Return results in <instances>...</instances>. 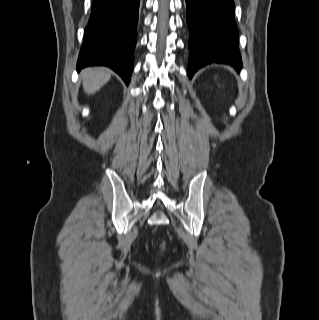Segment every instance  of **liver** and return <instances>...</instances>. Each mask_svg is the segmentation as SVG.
I'll return each instance as SVG.
<instances>
[{
  "label": "liver",
  "instance_id": "1",
  "mask_svg": "<svg viewBox=\"0 0 319 320\" xmlns=\"http://www.w3.org/2000/svg\"><path fill=\"white\" fill-rule=\"evenodd\" d=\"M111 78L108 69L97 67L87 68L82 72L83 88L87 94H94L103 87Z\"/></svg>",
  "mask_w": 319,
  "mask_h": 320
}]
</instances>
